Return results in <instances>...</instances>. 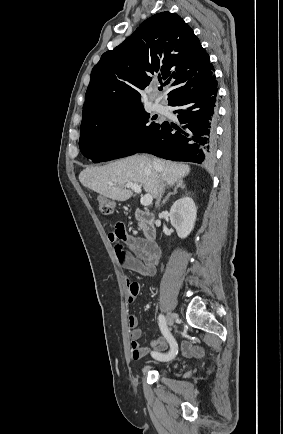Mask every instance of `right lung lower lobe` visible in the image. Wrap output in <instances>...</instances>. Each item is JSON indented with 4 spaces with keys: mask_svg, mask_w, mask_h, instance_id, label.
I'll return each mask as SVG.
<instances>
[{
    "mask_svg": "<svg viewBox=\"0 0 283 434\" xmlns=\"http://www.w3.org/2000/svg\"><path fill=\"white\" fill-rule=\"evenodd\" d=\"M217 81L169 103L181 125L164 122L152 138L136 153L195 163L213 158L217 116Z\"/></svg>",
    "mask_w": 283,
    "mask_h": 434,
    "instance_id": "1",
    "label": "right lung lower lobe"
}]
</instances>
